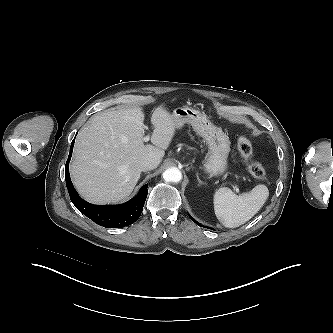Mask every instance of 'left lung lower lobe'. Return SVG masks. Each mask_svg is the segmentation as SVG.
Instances as JSON below:
<instances>
[{"label": "left lung lower lobe", "instance_id": "0a47b994", "mask_svg": "<svg viewBox=\"0 0 333 333\" xmlns=\"http://www.w3.org/2000/svg\"><path fill=\"white\" fill-rule=\"evenodd\" d=\"M190 218H191V219H192L197 225L201 226V224L198 223V222H196L191 216H190ZM202 227H203V225H202Z\"/></svg>", "mask_w": 333, "mask_h": 333}]
</instances>
